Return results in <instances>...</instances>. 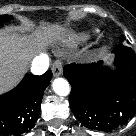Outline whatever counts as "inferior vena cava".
<instances>
[{
    "mask_svg": "<svg viewBox=\"0 0 136 136\" xmlns=\"http://www.w3.org/2000/svg\"><path fill=\"white\" fill-rule=\"evenodd\" d=\"M49 67V57L46 54H41L33 58L31 62V72L35 75L44 74Z\"/></svg>",
    "mask_w": 136,
    "mask_h": 136,
    "instance_id": "602c4592",
    "label": "inferior vena cava"
}]
</instances>
